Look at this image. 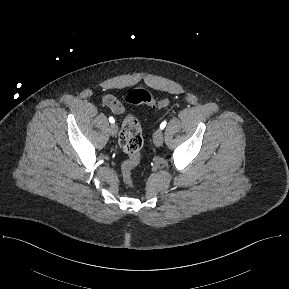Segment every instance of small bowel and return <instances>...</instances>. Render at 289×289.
Instances as JSON below:
<instances>
[{"label": "small bowel", "mask_w": 289, "mask_h": 289, "mask_svg": "<svg viewBox=\"0 0 289 289\" xmlns=\"http://www.w3.org/2000/svg\"><path fill=\"white\" fill-rule=\"evenodd\" d=\"M102 102L115 114H122L126 111V107L113 95H105Z\"/></svg>", "instance_id": "c3829d8e"}]
</instances>
